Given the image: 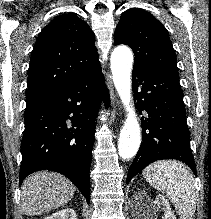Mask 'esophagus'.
I'll use <instances>...</instances> for the list:
<instances>
[{
  "label": "esophagus",
  "instance_id": "obj_1",
  "mask_svg": "<svg viewBox=\"0 0 211 219\" xmlns=\"http://www.w3.org/2000/svg\"><path fill=\"white\" fill-rule=\"evenodd\" d=\"M117 104H118V101H116V106H117Z\"/></svg>",
  "mask_w": 211,
  "mask_h": 219
}]
</instances>
